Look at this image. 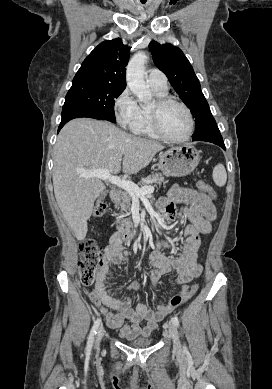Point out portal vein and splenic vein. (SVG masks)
I'll return each instance as SVG.
<instances>
[{"label": "portal vein and splenic vein", "mask_w": 272, "mask_h": 389, "mask_svg": "<svg viewBox=\"0 0 272 389\" xmlns=\"http://www.w3.org/2000/svg\"><path fill=\"white\" fill-rule=\"evenodd\" d=\"M81 176L89 178H99L104 181H108L111 184H114L121 189L128 192L133 198H139L146 194H151L154 192L153 186H143L139 188L135 183L132 181L123 180L118 176L112 175L108 170L102 169V170H93V171H87V172H80Z\"/></svg>", "instance_id": "portal-vein-and-splenic-vein-1"}]
</instances>
